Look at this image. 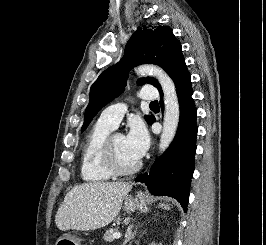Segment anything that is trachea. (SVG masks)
Wrapping results in <instances>:
<instances>
[{
	"label": "trachea",
	"mask_w": 266,
	"mask_h": 245,
	"mask_svg": "<svg viewBox=\"0 0 266 245\" xmlns=\"http://www.w3.org/2000/svg\"><path fill=\"white\" fill-rule=\"evenodd\" d=\"M156 104H158V101L157 100H155L154 102H151L150 105H156Z\"/></svg>",
	"instance_id": "obj_1"
}]
</instances>
